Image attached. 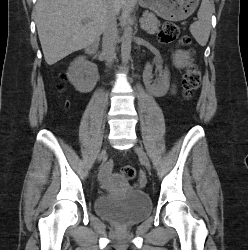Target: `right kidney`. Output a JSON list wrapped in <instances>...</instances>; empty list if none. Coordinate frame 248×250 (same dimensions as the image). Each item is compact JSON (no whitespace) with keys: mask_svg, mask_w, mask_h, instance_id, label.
<instances>
[{"mask_svg":"<svg viewBox=\"0 0 248 250\" xmlns=\"http://www.w3.org/2000/svg\"><path fill=\"white\" fill-rule=\"evenodd\" d=\"M70 83L80 93L91 92L98 81V68L96 65L86 61L85 57L76 58L67 72Z\"/></svg>","mask_w":248,"mask_h":250,"instance_id":"right-kidney-1","label":"right kidney"}]
</instances>
